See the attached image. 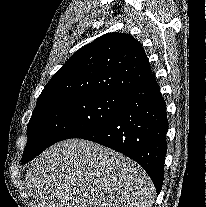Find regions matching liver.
<instances>
[{"label": "liver", "instance_id": "liver-1", "mask_svg": "<svg viewBox=\"0 0 206 207\" xmlns=\"http://www.w3.org/2000/svg\"><path fill=\"white\" fill-rule=\"evenodd\" d=\"M25 180L36 207H152L155 196L138 164L82 139L46 149L30 163Z\"/></svg>", "mask_w": 206, "mask_h": 207}]
</instances>
